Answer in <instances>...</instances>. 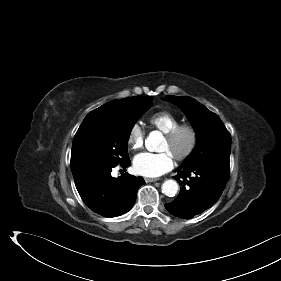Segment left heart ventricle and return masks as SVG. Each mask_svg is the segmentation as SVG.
<instances>
[{
    "instance_id": "b2bd125f",
    "label": "left heart ventricle",
    "mask_w": 281,
    "mask_h": 281,
    "mask_svg": "<svg viewBox=\"0 0 281 281\" xmlns=\"http://www.w3.org/2000/svg\"><path fill=\"white\" fill-rule=\"evenodd\" d=\"M189 143V137L187 134H183L175 143L171 144L164 139L162 150L169 151L172 155L183 151Z\"/></svg>"
}]
</instances>
